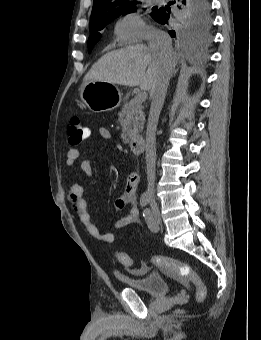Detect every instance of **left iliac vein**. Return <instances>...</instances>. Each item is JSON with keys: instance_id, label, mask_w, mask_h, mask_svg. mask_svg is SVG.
I'll return each mask as SVG.
<instances>
[{"instance_id": "obj_1", "label": "left iliac vein", "mask_w": 261, "mask_h": 340, "mask_svg": "<svg viewBox=\"0 0 261 340\" xmlns=\"http://www.w3.org/2000/svg\"><path fill=\"white\" fill-rule=\"evenodd\" d=\"M153 220L155 224L153 231H158L160 229L161 217L159 209L157 207L153 208Z\"/></svg>"}]
</instances>
